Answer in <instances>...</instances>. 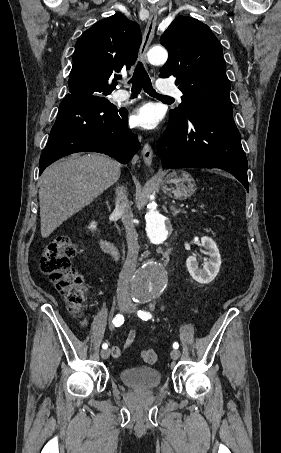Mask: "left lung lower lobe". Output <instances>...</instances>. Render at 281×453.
<instances>
[{
  "mask_svg": "<svg viewBox=\"0 0 281 453\" xmlns=\"http://www.w3.org/2000/svg\"><path fill=\"white\" fill-rule=\"evenodd\" d=\"M163 168H220L248 191L247 159L231 108H209L172 121L158 143Z\"/></svg>",
  "mask_w": 281,
  "mask_h": 453,
  "instance_id": "obj_1",
  "label": "left lung lower lobe"
}]
</instances>
